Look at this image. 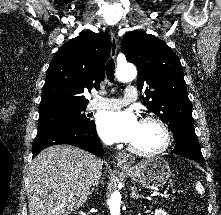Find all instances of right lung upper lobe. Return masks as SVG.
<instances>
[{
  "label": "right lung upper lobe",
  "mask_w": 221,
  "mask_h": 215,
  "mask_svg": "<svg viewBox=\"0 0 221 215\" xmlns=\"http://www.w3.org/2000/svg\"><path fill=\"white\" fill-rule=\"evenodd\" d=\"M111 37L84 32L55 53L47 70L39 116L86 107L84 90L99 89L110 56Z\"/></svg>",
  "instance_id": "cb5924a9"
}]
</instances>
